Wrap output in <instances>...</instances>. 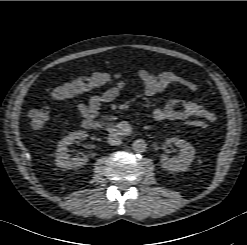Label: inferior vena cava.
Instances as JSON below:
<instances>
[{
  "instance_id": "602c4592",
  "label": "inferior vena cava",
  "mask_w": 247,
  "mask_h": 245,
  "mask_svg": "<svg viewBox=\"0 0 247 245\" xmlns=\"http://www.w3.org/2000/svg\"><path fill=\"white\" fill-rule=\"evenodd\" d=\"M108 143L113 146H118L121 144V139L117 135L110 134L108 137Z\"/></svg>"
}]
</instances>
